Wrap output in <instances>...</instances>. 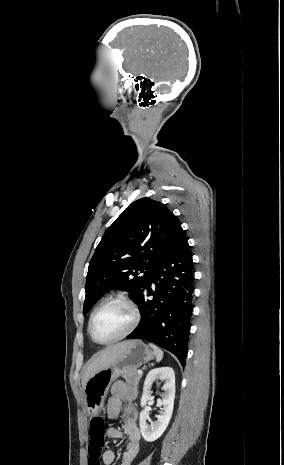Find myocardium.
Returning a JSON list of instances; mask_svg holds the SVG:
<instances>
[{"label":"myocardium","instance_id":"obj_1","mask_svg":"<svg viewBox=\"0 0 284 465\" xmlns=\"http://www.w3.org/2000/svg\"><path fill=\"white\" fill-rule=\"evenodd\" d=\"M111 304H122L124 306H126L127 308H129V310L131 311L132 313V322H131V325L130 327L128 328V330L122 334L121 336L115 338V339H112V340H109V341H98L94 336H93V333H92V324H93V321H94V318L95 316L97 315V313L105 306L107 305H111ZM140 319H141V314H140V310L139 308L137 307V305L135 304V302L133 300H131L130 298L126 297V296H116V297H113V298H110V299H107L105 301H103L94 311L93 313L91 314L90 318H89V323H88V333H89V336L91 338V340L98 344V345H111V344H115L117 342H120L124 339H126L127 337H129L134 331L135 329L137 328L139 322H140Z\"/></svg>","mask_w":284,"mask_h":465}]
</instances>
